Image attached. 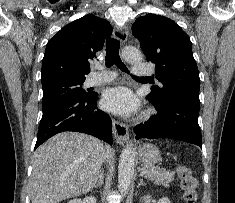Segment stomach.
<instances>
[{
  "mask_svg": "<svg viewBox=\"0 0 235 203\" xmlns=\"http://www.w3.org/2000/svg\"><path fill=\"white\" fill-rule=\"evenodd\" d=\"M139 158L144 164L153 165L160 160L158 148L152 144H143L138 147Z\"/></svg>",
  "mask_w": 235,
  "mask_h": 203,
  "instance_id": "stomach-1",
  "label": "stomach"
}]
</instances>
